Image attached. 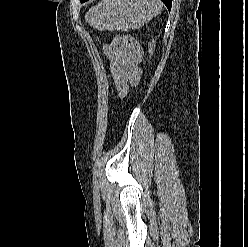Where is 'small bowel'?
Returning a JSON list of instances; mask_svg holds the SVG:
<instances>
[{
    "label": "small bowel",
    "mask_w": 248,
    "mask_h": 247,
    "mask_svg": "<svg viewBox=\"0 0 248 247\" xmlns=\"http://www.w3.org/2000/svg\"><path fill=\"white\" fill-rule=\"evenodd\" d=\"M104 52L110 62V71L120 97H125L131 86H136L141 70L135 54L127 44L114 40L104 45Z\"/></svg>",
    "instance_id": "obj_1"
}]
</instances>
